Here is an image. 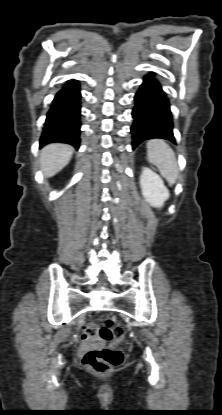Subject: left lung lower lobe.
<instances>
[{
  "instance_id": "obj_1",
  "label": "left lung lower lobe",
  "mask_w": 222,
  "mask_h": 415,
  "mask_svg": "<svg viewBox=\"0 0 222 415\" xmlns=\"http://www.w3.org/2000/svg\"><path fill=\"white\" fill-rule=\"evenodd\" d=\"M131 127L132 147L145 140L161 138L175 143L169 100L154 72L143 79L135 97Z\"/></svg>"
}]
</instances>
